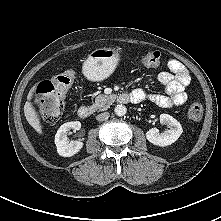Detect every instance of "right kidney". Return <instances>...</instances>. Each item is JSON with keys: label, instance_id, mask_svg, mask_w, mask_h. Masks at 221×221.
<instances>
[{"label": "right kidney", "instance_id": "1", "mask_svg": "<svg viewBox=\"0 0 221 221\" xmlns=\"http://www.w3.org/2000/svg\"><path fill=\"white\" fill-rule=\"evenodd\" d=\"M81 123L79 121L67 122L60 126L55 135V144L57 147V152L60 156L71 157L78 153L83 147V142L81 141H70L67 138V133L71 129L80 130Z\"/></svg>", "mask_w": 221, "mask_h": 221}]
</instances>
